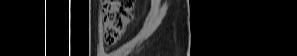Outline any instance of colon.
Listing matches in <instances>:
<instances>
[{
  "instance_id": "1",
  "label": "colon",
  "mask_w": 297,
  "mask_h": 56,
  "mask_svg": "<svg viewBox=\"0 0 297 56\" xmlns=\"http://www.w3.org/2000/svg\"><path fill=\"white\" fill-rule=\"evenodd\" d=\"M102 11L105 41L114 45L124 35L127 26L134 17L135 1L108 0L104 2Z\"/></svg>"
}]
</instances>
